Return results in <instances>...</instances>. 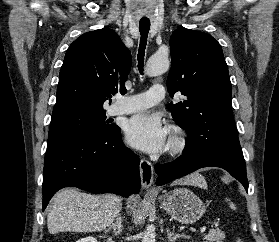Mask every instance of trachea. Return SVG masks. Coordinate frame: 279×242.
Here are the masks:
<instances>
[{
  "label": "trachea",
  "mask_w": 279,
  "mask_h": 242,
  "mask_svg": "<svg viewBox=\"0 0 279 242\" xmlns=\"http://www.w3.org/2000/svg\"><path fill=\"white\" fill-rule=\"evenodd\" d=\"M150 30V21L148 20H142L139 22V31H140V44H139V50H138V69L143 75V67H144V55H145V49L147 45V37Z\"/></svg>",
  "instance_id": "3493384b"
}]
</instances>
